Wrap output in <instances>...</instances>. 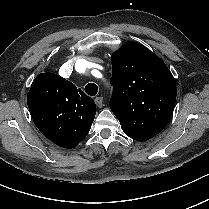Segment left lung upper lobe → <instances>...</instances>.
Instances as JSON below:
<instances>
[{
  "label": "left lung upper lobe",
  "mask_w": 209,
  "mask_h": 209,
  "mask_svg": "<svg viewBox=\"0 0 209 209\" xmlns=\"http://www.w3.org/2000/svg\"><path fill=\"white\" fill-rule=\"evenodd\" d=\"M114 87L109 106L123 132L146 141L168 124L176 101V83L165 63L137 42H129L111 57Z\"/></svg>",
  "instance_id": "1"
}]
</instances>
